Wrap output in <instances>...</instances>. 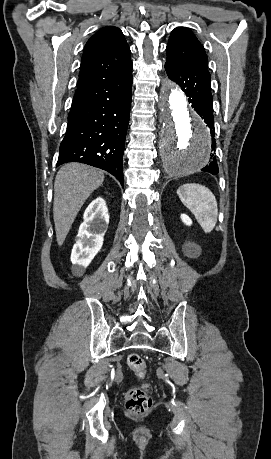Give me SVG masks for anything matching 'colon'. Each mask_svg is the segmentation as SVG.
<instances>
[{
	"label": "colon",
	"mask_w": 271,
	"mask_h": 459,
	"mask_svg": "<svg viewBox=\"0 0 271 459\" xmlns=\"http://www.w3.org/2000/svg\"><path fill=\"white\" fill-rule=\"evenodd\" d=\"M127 363L132 373L138 378H144L147 367L144 359L138 354H130ZM150 386L144 384L141 387L130 389L126 393V408L131 414L140 415L147 412L152 406Z\"/></svg>",
	"instance_id": "5ec220e1"
}]
</instances>
